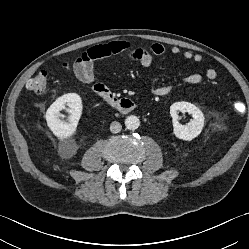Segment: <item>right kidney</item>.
Wrapping results in <instances>:
<instances>
[{
  "instance_id": "right-kidney-1",
  "label": "right kidney",
  "mask_w": 249,
  "mask_h": 249,
  "mask_svg": "<svg viewBox=\"0 0 249 249\" xmlns=\"http://www.w3.org/2000/svg\"><path fill=\"white\" fill-rule=\"evenodd\" d=\"M66 109L70 113L69 123L60 119V111ZM82 100L76 93L64 94L57 98L56 101L48 108L46 112V121L49 129L55 136L64 139L60 144V151L65 157H72L77 151V146L70 137L75 134L76 127L82 114Z\"/></svg>"
}]
</instances>
